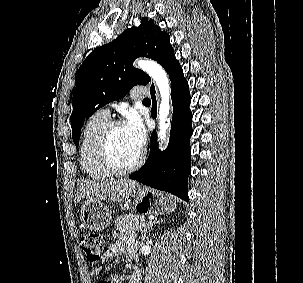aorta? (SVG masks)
Wrapping results in <instances>:
<instances>
[{
  "label": "aorta",
  "mask_w": 303,
  "mask_h": 283,
  "mask_svg": "<svg viewBox=\"0 0 303 283\" xmlns=\"http://www.w3.org/2000/svg\"><path fill=\"white\" fill-rule=\"evenodd\" d=\"M137 66L146 72L156 83L161 97V102L158 108L159 132L158 140L159 147L162 148L167 138V130L169 127V112H170V86L165 70L158 63L152 60H138Z\"/></svg>",
  "instance_id": "762f6f07"
}]
</instances>
